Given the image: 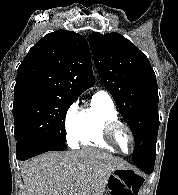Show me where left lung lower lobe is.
<instances>
[{
	"label": "left lung lower lobe",
	"instance_id": "0a47b994",
	"mask_svg": "<svg viewBox=\"0 0 178 195\" xmlns=\"http://www.w3.org/2000/svg\"><path fill=\"white\" fill-rule=\"evenodd\" d=\"M156 154L133 160V163L145 173L150 174L154 169Z\"/></svg>",
	"mask_w": 178,
	"mask_h": 195
}]
</instances>
